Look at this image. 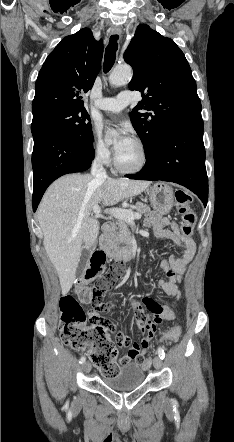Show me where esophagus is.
<instances>
[{
  "label": "esophagus",
  "mask_w": 234,
  "mask_h": 442,
  "mask_svg": "<svg viewBox=\"0 0 234 442\" xmlns=\"http://www.w3.org/2000/svg\"><path fill=\"white\" fill-rule=\"evenodd\" d=\"M111 33H112V34H118V35H120V34H121V31H120V29H112V30H111Z\"/></svg>",
  "instance_id": "esophagus-1"
}]
</instances>
